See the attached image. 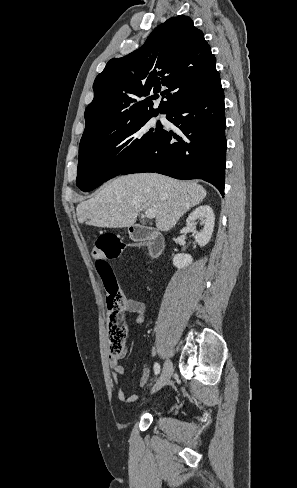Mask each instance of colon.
Listing matches in <instances>:
<instances>
[{
  "instance_id": "5ec220e1",
  "label": "colon",
  "mask_w": 297,
  "mask_h": 488,
  "mask_svg": "<svg viewBox=\"0 0 297 488\" xmlns=\"http://www.w3.org/2000/svg\"><path fill=\"white\" fill-rule=\"evenodd\" d=\"M132 248H134V245L122 242L117 235L104 233L99 236L92 250L96 258V270L102 278L107 293V323L109 348L112 356H119L125 348L127 298L117 283L114 270L109 261L117 259L124 250Z\"/></svg>"
}]
</instances>
